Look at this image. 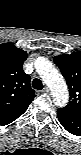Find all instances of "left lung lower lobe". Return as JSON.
I'll return each instance as SVG.
<instances>
[{"label": "left lung lower lobe", "instance_id": "1", "mask_svg": "<svg viewBox=\"0 0 81 155\" xmlns=\"http://www.w3.org/2000/svg\"><path fill=\"white\" fill-rule=\"evenodd\" d=\"M57 115L62 126L71 134L78 135L81 131V118L74 117L58 109Z\"/></svg>", "mask_w": 81, "mask_h": 155}]
</instances>
